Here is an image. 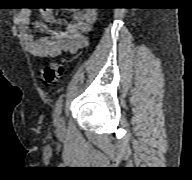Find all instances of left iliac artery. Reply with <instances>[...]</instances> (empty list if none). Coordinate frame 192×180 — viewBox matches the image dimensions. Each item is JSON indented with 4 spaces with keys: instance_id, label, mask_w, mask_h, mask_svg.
<instances>
[{
    "instance_id": "44dca946",
    "label": "left iliac artery",
    "mask_w": 192,
    "mask_h": 180,
    "mask_svg": "<svg viewBox=\"0 0 192 180\" xmlns=\"http://www.w3.org/2000/svg\"><path fill=\"white\" fill-rule=\"evenodd\" d=\"M62 106H63V98L60 97V98L57 100L56 104H55V113H56L57 115H59V114L61 113Z\"/></svg>"
}]
</instances>
